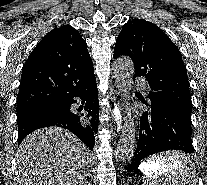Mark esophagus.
<instances>
[{
	"mask_svg": "<svg viewBox=\"0 0 207 185\" xmlns=\"http://www.w3.org/2000/svg\"><path fill=\"white\" fill-rule=\"evenodd\" d=\"M108 111H111V115H114L115 119V128H124V119L123 114H120V110H118V106H108ZM113 136H120V131H113Z\"/></svg>",
	"mask_w": 207,
	"mask_h": 185,
	"instance_id": "obj_1",
	"label": "esophagus"
}]
</instances>
